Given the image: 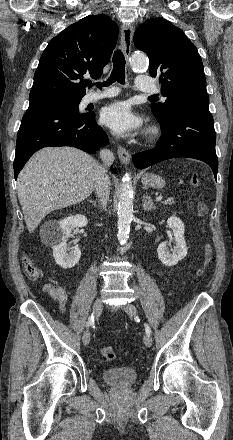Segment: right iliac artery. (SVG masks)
<instances>
[{"label":"right iliac artery","mask_w":233,"mask_h":440,"mask_svg":"<svg viewBox=\"0 0 233 440\" xmlns=\"http://www.w3.org/2000/svg\"><path fill=\"white\" fill-rule=\"evenodd\" d=\"M92 322H94L93 315H91V317H89L88 322H87V326L90 325Z\"/></svg>","instance_id":"82829eb1"}]
</instances>
